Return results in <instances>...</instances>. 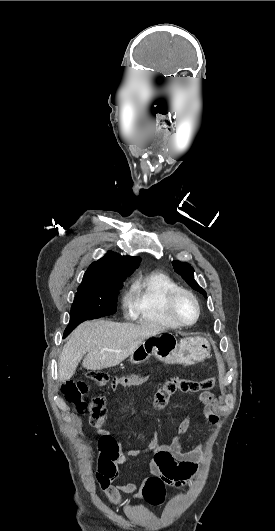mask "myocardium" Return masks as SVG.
I'll return each mask as SVG.
<instances>
[{
    "label": "myocardium",
    "instance_id": "myocardium-1",
    "mask_svg": "<svg viewBox=\"0 0 275 531\" xmlns=\"http://www.w3.org/2000/svg\"><path fill=\"white\" fill-rule=\"evenodd\" d=\"M180 294H185L189 296L196 305V310H197L196 317L191 322L181 321L174 312V301L176 297ZM165 309L170 319L174 321L178 326H181V327L194 325L201 316V304L199 302V299L190 290L182 288V287H175L167 294L166 299H165Z\"/></svg>",
    "mask_w": 275,
    "mask_h": 531
}]
</instances>
